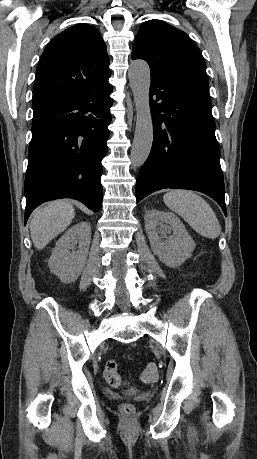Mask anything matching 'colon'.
Returning <instances> with one entry per match:
<instances>
[{"mask_svg": "<svg viewBox=\"0 0 257 459\" xmlns=\"http://www.w3.org/2000/svg\"><path fill=\"white\" fill-rule=\"evenodd\" d=\"M103 373L110 386L118 388L125 385L122 376L117 371V362L114 359L106 361ZM157 375V365L155 363H149L142 370L141 381L144 383H151L156 380ZM121 412L126 416H131L134 413V407L129 403H124L121 405Z\"/></svg>", "mask_w": 257, "mask_h": 459, "instance_id": "colon-1", "label": "colon"}]
</instances>
